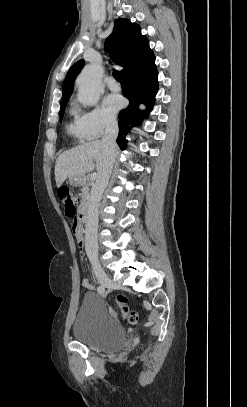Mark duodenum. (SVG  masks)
<instances>
[{"mask_svg": "<svg viewBox=\"0 0 247 407\" xmlns=\"http://www.w3.org/2000/svg\"><path fill=\"white\" fill-rule=\"evenodd\" d=\"M87 221H88V208L86 206H82L79 209L78 222H82L85 225ZM82 238L84 239V236Z\"/></svg>", "mask_w": 247, "mask_h": 407, "instance_id": "duodenum-1", "label": "duodenum"}]
</instances>
